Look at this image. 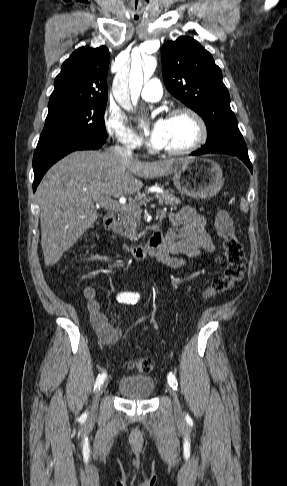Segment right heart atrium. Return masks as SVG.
Masks as SVG:
<instances>
[{
    "label": "right heart atrium",
    "instance_id": "1",
    "mask_svg": "<svg viewBox=\"0 0 287 486\" xmlns=\"http://www.w3.org/2000/svg\"><path fill=\"white\" fill-rule=\"evenodd\" d=\"M104 127L108 135L122 148L134 151L140 147V139L120 115L107 111L104 115Z\"/></svg>",
    "mask_w": 287,
    "mask_h": 486
}]
</instances>
